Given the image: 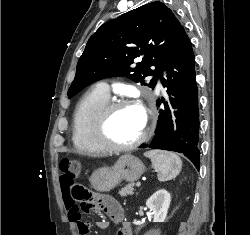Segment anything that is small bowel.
I'll return each instance as SVG.
<instances>
[{
  "label": "small bowel",
  "mask_w": 250,
  "mask_h": 235,
  "mask_svg": "<svg viewBox=\"0 0 250 235\" xmlns=\"http://www.w3.org/2000/svg\"><path fill=\"white\" fill-rule=\"evenodd\" d=\"M62 197L67 215L72 222L76 223L79 235H87L89 232V224L82 219L78 204L73 199L69 187L62 186ZM98 206L114 221L122 223L116 235H133L131 226L123 222V209L116 200L110 197H102L98 200ZM98 226L105 228L106 222L100 221L98 222Z\"/></svg>",
  "instance_id": "obj_1"
}]
</instances>
